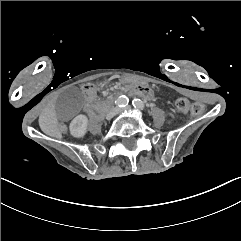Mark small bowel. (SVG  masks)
I'll return each instance as SVG.
<instances>
[{"label":"small bowel","instance_id":"c3829d8e","mask_svg":"<svg viewBox=\"0 0 241 241\" xmlns=\"http://www.w3.org/2000/svg\"><path fill=\"white\" fill-rule=\"evenodd\" d=\"M82 91L85 97V101L87 103L86 111L87 113H90L91 109L96 103L95 101L97 99V88L94 85L85 84L82 86Z\"/></svg>","mask_w":241,"mask_h":241}]
</instances>
